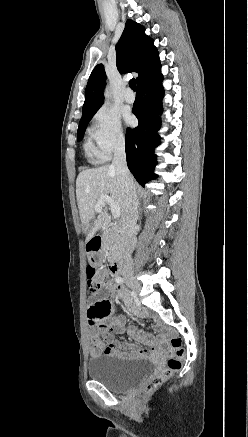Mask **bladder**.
<instances>
[{"label":"bladder","instance_id":"31cf9c89","mask_svg":"<svg viewBox=\"0 0 248 437\" xmlns=\"http://www.w3.org/2000/svg\"><path fill=\"white\" fill-rule=\"evenodd\" d=\"M156 372V365L146 358H120L104 355L88 369L89 377L112 391H124L149 379Z\"/></svg>","mask_w":248,"mask_h":437}]
</instances>
